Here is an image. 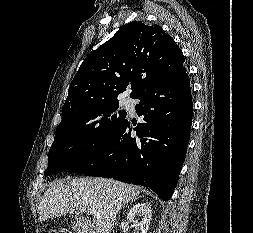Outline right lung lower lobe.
<instances>
[{"label": "right lung lower lobe", "mask_w": 253, "mask_h": 233, "mask_svg": "<svg viewBox=\"0 0 253 233\" xmlns=\"http://www.w3.org/2000/svg\"><path fill=\"white\" fill-rule=\"evenodd\" d=\"M135 99L143 123L126 118L109 142L85 160L64 170L113 178L150 187L169 200L177 185L190 138L192 96L184 67L147 86ZM134 129L137 137L131 136Z\"/></svg>", "instance_id": "98d812e1"}]
</instances>
